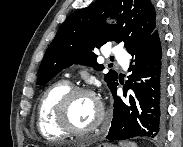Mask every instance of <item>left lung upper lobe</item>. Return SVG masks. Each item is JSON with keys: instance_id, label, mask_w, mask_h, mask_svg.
<instances>
[{"instance_id": "5c2ea615", "label": "left lung upper lobe", "mask_w": 183, "mask_h": 147, "mask_svg": "<svg viewBox=\"0 0 183 147\" xmlns=\"http://www.w3.org/2000/svg\"><path fill=\"white\" fill-rule=\"evenodd\" d=\"M109 16L117 18L118 24L105 25L103 20ZM158 27L150 0H96L73 12L60 26L42 60L37 84H47L74 63H85L100 71L104 66L96 62L94 48H100L108 41L124 42L129 52ZM104 80L111 90L118 81V74L110 70Z\"/></svg>"}]
</instances>
